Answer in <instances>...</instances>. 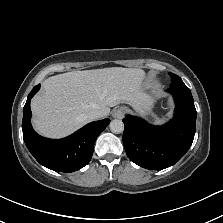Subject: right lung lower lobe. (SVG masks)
Instances as JSON below:
<instances>
[{
	"label": "right lung lower lobe",
	"mask_w": 223,
	"mask_h": 223,
	"mask_svg": "<svg viewBox=\"0 0 223 223\" xmlns=\"http://www.w3.org/2000/svg\"><path fill=\"white\" fill-rule=\"evenodd\" d=\"M35 86L23 109V139L31 154L43 166L58 172H74L87 165L92 157L94 143L109 124V119L85 125L72 135L58 140L44 138L32 128L30 100L39 90Z\"/></svg>",
	"instance_id": "1"
}]
</instances>
